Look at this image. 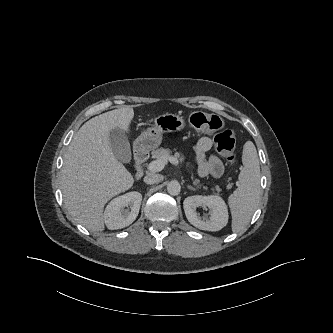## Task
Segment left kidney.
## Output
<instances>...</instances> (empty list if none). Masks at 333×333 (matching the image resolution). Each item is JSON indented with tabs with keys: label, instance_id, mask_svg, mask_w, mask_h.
Segmentation results:
<instances>
[{
	"label": "left kidney",
	"instance_id": "1",
	"mask_svg": "<svg viewBox=\"0 0 333 333\" xmlns=\"http://www.w3.org/2000/svg\"><path fill=\"white\" fill-rule=\"evenodd\" d=\"M206 206L210 209L209 219L202 218L196 213V208ZM188 221L201 230L219 231L228 222V209L224 200L217 195L187 197L183 202Z\"/></svg>",
	"mask_w": 333,
	"mask_h": 333
}]
</instances>
